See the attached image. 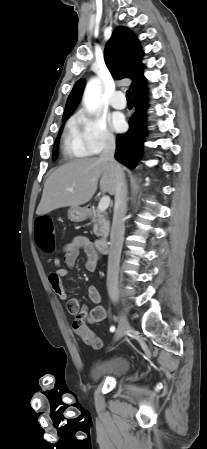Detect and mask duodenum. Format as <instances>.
<instances>
[{
  "mask_svg": "<svg viewBox=\"0 0 207 449\" xmlns=\"http://www.w3.org/2000/svg\"><path fill=\"white\" fill-rule=\"evenodd\" d=\"M95 245L101 253H107L109 251V241L107 238L98 239Z\"/></svg>",
  "mask_w": 207,
  "mask_h": 449,
  "instance_id": "1",
  "label": "duodenum"
}]
</instances>
